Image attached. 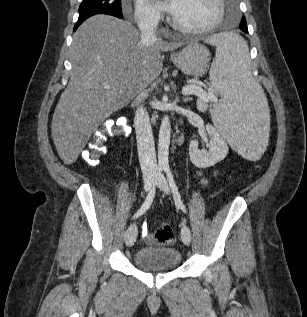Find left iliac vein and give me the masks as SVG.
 <instances>
[{
	"label": "left iliac vein",
	"mask_w": 307,
	"mask_h": 317,
	"mask_svg": "<svg viewBox=\"0 0 307 317\" xmlns=\"http://www.w3.org/2000/svg\"><path fill=\"white\" fill-rule=\"evenodd\" d=\"M158 187L165 193H169V185L167 179L163 175H161L159 179ZM181 238L185 245H189L191 243V231L189 227L185 224L182 226L181 229Z\"/></svg>",
	"instance_id": "obj_1"
}]
</instances>
